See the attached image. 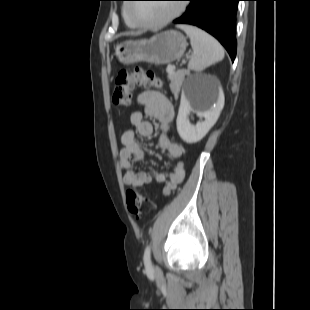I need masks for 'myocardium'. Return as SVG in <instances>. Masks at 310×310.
Here are the masks:
<instances>
[{"mask_svg": "<svg viewBox=\"0 0 310 310\" xmlns=\"http://www.w3.org/2000/svg\"><path fill=\"white\" fill-rule=\"evenodd\" d=\"M132 4H127L125 6V15L126 17L129 19V21H131L135 26L140 27V28H146V29H159L162 28L166 25H168L169 23H171L172 21H174L175 19H177L178 17H180L186 9V5L181 3L178 4L176 7V10L174 11L173 14H171L170 16H168L167 18L159 21V22H155V23H150V22H143L140 21L134 17H132V15L130 14V7Z\"/></svg>", "mask_w": 310, "mask_h": 310, "instance_id": "obj_1", "label": "myocardium"}]
</instances>
